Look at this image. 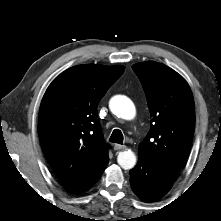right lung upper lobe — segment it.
<instances>
[{"instance_id":"obj_1","label":"right lung upper lobe","mask_w":221,"mask_h":221,"mask_svg":"<svg viewBox=\"0 0 221 221\" xmlns=\"http://www.w3.org/2000/svg\"><path fill=\"white\" fill-rule=\"evenodd\" d=\"M123 66L78 65L61 73L42 99L38 131L43 153L61 184L82 191L99 180L109 157L97 106Z\"/></svg>"}]
</instances>
